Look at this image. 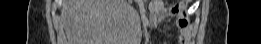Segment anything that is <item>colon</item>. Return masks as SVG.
I'll list each match as a JSON object with an SVG mask.
<instances>
[{
	"label": "colon",
	"mask_w": 261,
	"mask_h": 44,
	"mask_svg": "<svg viewBox=\"0 0 261 44\" xmlns=\"http://www.w3.org/2000/svg\"><path fill=\"white\" fill-rule=\"evenodd\" d=\"M174 6H188L189 5V1L187 0H183V1H174L173 2Z\"/></svg>",
	"instance_id": "1"
}]
</instances>
